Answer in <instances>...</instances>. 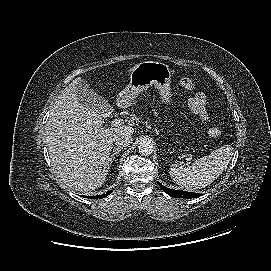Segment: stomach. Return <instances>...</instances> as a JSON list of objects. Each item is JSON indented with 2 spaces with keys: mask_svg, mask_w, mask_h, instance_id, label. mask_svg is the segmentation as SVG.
Returning <instances> with one entry per match:
<instances>
[{
  "mask_svg": "<svg viewBox=\"0 0 271 271\" xmlns=\"http://www.w3.org/2000/svg\"><path fill=\"white\" fill-rule=\"evenodd\" d=\"M171 78L172 71L164 63L155 61L140 63L131 71L129 84L118 94L117 102L121 106L129 105L143 91L155 86L161 99L169 104Z\"/></svg>",
  "mask_w": 271,
  "mask_h": 271,
  "instance_id": "0dacf381",
  "label": "stomach"
}]
</instances>
